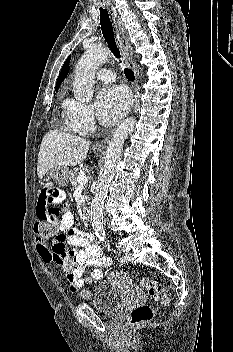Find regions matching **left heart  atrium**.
I'll list each match as a JSON object with an SVG mask.
<instances>
[{"label":"left heart atrium","mask_w":233,"mask_h":352,"mask_svg":"<svg viewBox=\"0 0 233 352\" xmlns=\"http://www.w3.org/2000/svg\"><path fill=\"white\" fill-rule=\"evenodd\" d=\"M129 103V94L125 88L113 86L102 89L96 99L99 119L105 125L114 124L125 114Z\"/></svg>","instance_id":"obj_1"}]
</instances>
